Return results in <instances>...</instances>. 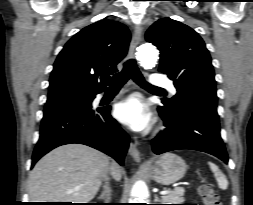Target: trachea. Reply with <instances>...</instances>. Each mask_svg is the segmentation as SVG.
Returning a JSON list of instances; mask_svg holds the SVG:
<instances>
[{
  "mask_svg": "<svg viewBox=\"0 0 253 205\" xmlns=\"http://www.w3.org/2000/svg\"><path fill=\"white\" fill-rule=\"evenodd\" d=\"M130 78L142 87L152 90L164 91L163 89L153 86L145 81L134 59L127 60L124 63L123 70L113 76L111 81V88L122 87Z\"/></svg>",
  "mask_w": 253,
  "mask_h": 205,
  "instance_id": "1",
  "label": "trachea"
}]
</instances>
